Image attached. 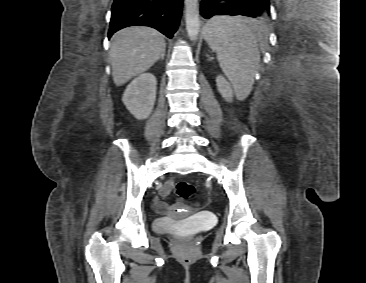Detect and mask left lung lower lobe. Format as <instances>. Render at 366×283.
<instances>
[{"label": "left lung lower lobe", "instance_id": "left-lung-lower-lobe-1", "mask_svg": "<svg viewBox=\"0 0 366 283\" xmlns=\"http://www.w3.org/2000/svg\"><path fill=\"white\" fill-rule=\"evenodd\" d=\"M217 1L229 0H202L201 15L209 19L215 15H242L256 18L265 13L266 7L260 0H231V4L220 5Z\"/></svg>", "mask_w": 366, "mask_h": 283}]
</instances>
